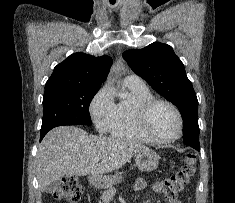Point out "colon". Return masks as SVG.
<instances>
[{
  "label": "colon",
  "mask_w": 235,
  "mask_h": 203,
  "mask_svg": "<svg viewBox=\"0 0 235 203\" xmlns=\"http://www.w3.org/2000/svg\"><path fill=\"white\" fill-rule=\"evenodd\" d=\"M194 162V156L187 155L184 164L175 175L162 179L155 184L156 192L168 200L176 199L194 175ZM82 195L83 188L74 176L65 177L61 186L54 192L55 199L66 200L70 203H76L82 198Z\"/></svg>",
  "instance_id": "1"
}]
</instances>
